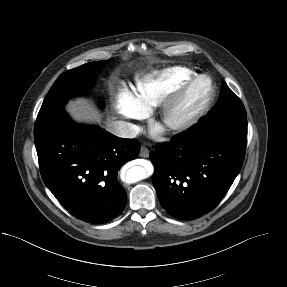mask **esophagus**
I'll list each match as a JSON object with an SVG mask.
<instances>
[{"mask_svg": "<svg viewBox=\"0 0 287 287\" xmlns=\"http://www.w3.org/2000/svg\"><path fill=\"white\" fill-rule=\"evenodd\" d=\"M140 157L147 158L149 156V149L147 147L142 146L140 149Z\"/></svg>", "mask_w": 287, "mask_h": 287, "instance_id": "34e87169", "label": "esophagus"}]
</instances>
